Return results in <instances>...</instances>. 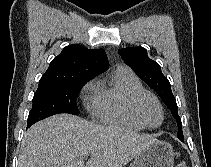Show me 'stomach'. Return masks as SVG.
<instances>
[{
	"mask_svg": "<svg viewBox=\"0 0 211 167\" xmlns=\"http://www.w3.org/2000/svg\"><path fill=\"white\" fill-rule=\"evenodd\" d=\"M174 150L163 141H156L135 158L131 167H173Z\"/></svg>",
	"mask_w": 211,
	"mask_h": 167,
	"instance_id": "1",
	"label": "stomach"
}]
</instances>
